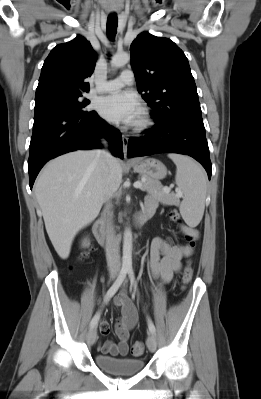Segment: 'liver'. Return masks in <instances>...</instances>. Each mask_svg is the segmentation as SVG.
Returning <instances> with one entry per match:
<instances>
[{"mask_svg":"<svg viewBox=\"0 0 261 399\" xmlns=\"http://www.w3.org/2000/svg\"><path fill=\"white\" fill-rule=\"evenodd\" d=\"M122 182L120 161L110 164L99 150L75 151L50 161L40 173L34 192L48 236L62 258H68L76 234L99 214L108 192Z\"/></svg>","mask_w":261,"mask_h":399,"instance_id":"1","label":"liver"}]
</instances>
